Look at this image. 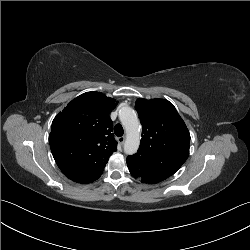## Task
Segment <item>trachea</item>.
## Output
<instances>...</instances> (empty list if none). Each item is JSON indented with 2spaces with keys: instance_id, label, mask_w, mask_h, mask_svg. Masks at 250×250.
<instances>
[{
  "instance_id": "trachea-1",
  "label": "trachea",
  "mask_w": 250,
  "mask_h": 250,
  "mask_svg": "<svg viewBox=\"0 0 250 250\" xmlns=\"http://www.w3.org/2000/svg\"><path fill=\"white\" fill-rule=\"evenodd\" d=\"M114 133L116 136L121 137L124 134L123 127L121 124H116L114 127Z\"/></svg>"
}]
</instances>
